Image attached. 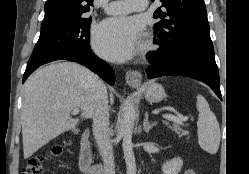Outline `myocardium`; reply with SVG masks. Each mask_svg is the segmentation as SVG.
I'll return each instance as SVG.
<instances>
[{
	"label": "myocardium",
	"instance_id": "1",
	"mask_svg": "<svg viewBox=\"0 0 249 174\" xmlns=\"http://www.w3.org/2000/svg\"><path fill=\"white\" fill-rule=\"evenodd\" d=\"M153 48H154V45H153L152 41L146 40L142 46V51L149 52V51L153 50Z\"/></svg>",
	"mask_w": 249,
	"mask_h": 174
}]
</instances>
